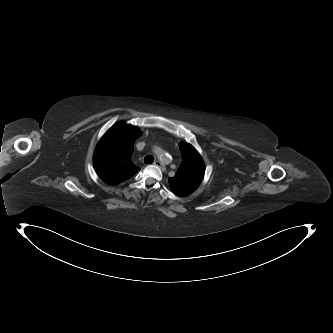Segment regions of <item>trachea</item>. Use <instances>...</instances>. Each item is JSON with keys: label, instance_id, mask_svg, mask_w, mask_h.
Instances as JSON below:
<instances>
[{"label": "trachea", "instance_id": "1", "mask_svg": "<svg viewBox=\"0 0 333 333\" xmlns=\"http://www.w3.org/2000/svg\"><path fill=\"white\" fill-rule=\"evenodd\" d=\"M154 162V157L152 155H146L144 157L145 164H152Z\"/></svg>", "mask_w": 333, "mask_h": 333}]
</instances>
